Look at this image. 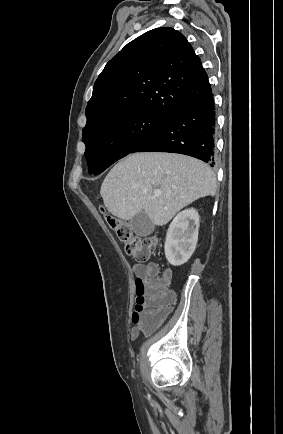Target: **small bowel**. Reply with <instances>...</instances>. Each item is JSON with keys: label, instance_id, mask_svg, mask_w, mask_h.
Returning a JSON list of instances; mask_svg holds the SVG:
<instances>
[{"label": "small bowel", "instance_id": "obj_1", "mask_svg": "<svg viewBox=\"0 0 283 434\" xmlns=\"http://www.w3.org/2000/svg\"><path fill=\"white\" fill-rule=\"evenodd\" d=\"M133 272L137 278L153 277L158 273V267L153 262H150L148 264H135L133 266ZM141 332L142 331L139 327H134L131 331L132 339L138 338Z\"/></svg>", "mask_w": 283, "mask_h": 434}]
</instances>
